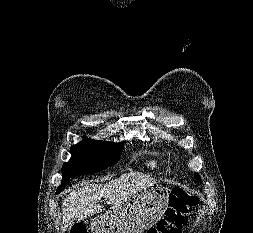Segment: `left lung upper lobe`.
Returning a JSON list of instances; mask_svg holds the SVG:
<instances>
[{"label": "left lung upper lobe", "instance_id": "5c2ea615", "mask_svg": "<svg viewBox=\"0 0 253 233\" xmlns=\"http://www.w3.org/2000/svg\"><path fill=\"white\" fill-rule=\"evenodd\" d=\"M194 177H195L197 180L201 181V178H200V176H199L197 173H194Z\"/></svg>", "mask_w": 253, "mask_h": 233}]
</instances>
